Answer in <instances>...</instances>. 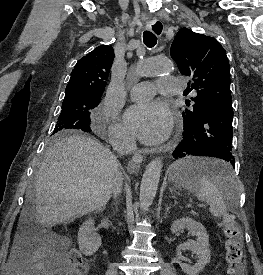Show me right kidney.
I'll use <instances>...</instances> for the list:
<instances>
[{
	"label": "right kidney",
	"instance_id": "ca27d5eb",
	"mask_svg": "<svg viewBox=\"0 0 263 275\" xmlns=\"http://www.w3.org/2000/svg\"><path fill=\"white\" fill-rule=\"evenodd\" d=\"M94 224V220L92 218H89L79 228V249L86 256L93 255L101 246V237L95 232Z\"/></svg>",
	"mask_w": 263,
	"mask_h": 275
}]
</instances>
